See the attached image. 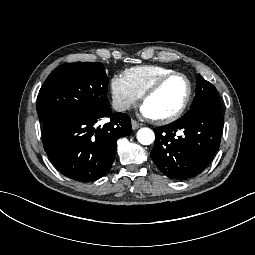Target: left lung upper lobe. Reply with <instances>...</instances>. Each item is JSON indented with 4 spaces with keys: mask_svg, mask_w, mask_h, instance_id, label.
Returning <instances> with one entry per match:
<instances>
[{
    "mask_svg": "<svg viewBox=\"0 0 255 255\" xmlns=\"http://www.w3.org/2000/svg\"><path fill=\"white\" fill-rule=\"evenodd\" d=\"M199 105H208L217 109L221 108V102L216 88L200 74L197 77L196 95L192 107Z\"/></svg>",
    "mask_w": 255,
    "mask_h": 255,
    "instance_id": "obj_1",
    "label": "left lung upper lobe"
}]
</instances>
